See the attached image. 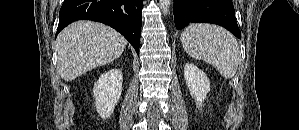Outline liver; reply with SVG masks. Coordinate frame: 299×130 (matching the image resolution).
Here are the masks:
<instances>
[{
    "mask_svg": "<svg viewBox=\"0 0 299 130\" xmlns=\"http://www.w3.org/2000/svg\"><path fill=\"white\" fill-rule=\"evenodd\" d=\"M126 45L127 40L109 26L91 21L74 22L56 40L60 76L72 81L119 58Z\"/></svg>",
    "mask_w": 299,
    "mask_h": 130,
    "instance_id": "6515ba94",
    "label": "liver"
}]
</instances>
